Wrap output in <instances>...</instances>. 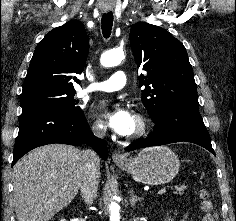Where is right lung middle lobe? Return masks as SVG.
I'll return each mask as SVG.
<instances>
[{"instance_id":"1","label":"right lung middle lobe","mask_w":236,"mask_h":221,"mask_svg":"<svg viewBox=\"0 0 236 221\" xmlns=\"http://www.w3.org/2000/svg\"><path fill=\"white\" fill-rule=\"evenodd\" d=\"M75 90L44 88L21 94L22 112L36 108H54L70 112L81 111L74 100Z\"/></svg>"}]
</instances>
